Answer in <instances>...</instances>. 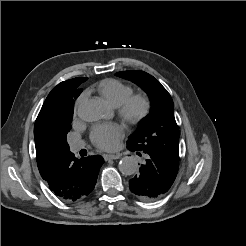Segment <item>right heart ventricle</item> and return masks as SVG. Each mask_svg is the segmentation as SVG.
Here are the masks:
<instances>
[{"mask_svg": "<svg viewBox=\"0 0 246 246\" xmlns=\"http://www.w3.org/2000/svg\"><path fill=\"white\" fill-rule=\"evenodd\" d=\"M97 90L99 94L114 107L119 106L133 94V88L130 85L114 78L101 81L97 86Z\"/></svg>", "mask_w": 246, "mask_h": 246, "instance_id": "obj_1", "label": "right heart ventricle"}]
</instances>
